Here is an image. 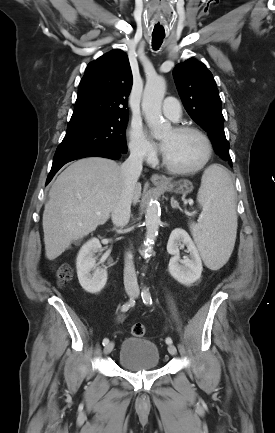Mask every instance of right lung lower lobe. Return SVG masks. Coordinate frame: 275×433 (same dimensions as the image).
Instances as JSON below:
<instances>
[{"instance_id": "1", "label": "right lung lower lobe", "mask_w": 275, "mask_h": 433, "mask_svg": "<svg viewBox=\"0 0 275 433\" xmlns=\"http://www.w3.org/2000/svg\"><path fill=\"white\" fill-rule=\"evenodd\" d=\"M122 152L111 149V148H99L86 151L78 152H68L54 155L53 164L51 171L48 175L46 185L52 180L53 176L58 172V170L66 163L84 158V157H106L113 160H118L121 157Z\"/></svg>"}]
</instances>
